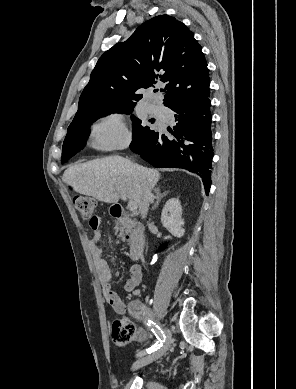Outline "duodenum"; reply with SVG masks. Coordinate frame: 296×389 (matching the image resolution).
<instances>
[{"mask_svg":"<svg viewBox=\"0 0 296 389\" xmlns=\"http://www.w3.org/2000/svg\"><path fill=\"white\" fill-rule=\"evenodd\" d=\"M111 214L127 229L131 258L133 260L141 259L146 251L144 227L139 222L130 218L123 207L118 204L112 206Z\"/></svg>","mask_w":296,"mask_h":389,"instance_id":"duodenum-1","label":"duodenum"}]
</instances>
